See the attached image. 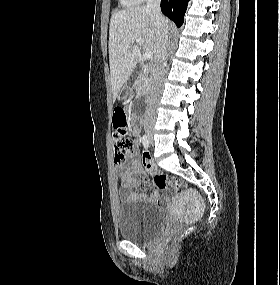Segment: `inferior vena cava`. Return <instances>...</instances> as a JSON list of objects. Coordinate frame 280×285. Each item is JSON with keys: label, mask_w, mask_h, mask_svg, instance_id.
<instances>
[{"label": "inferior vena cava", "mask_w": 280, "mask_h": 285, "mask_svg": "<svg viewBox=\"0 0 280 285\" xmlns=\"http://www.w3.org/2000/svg\"><path fill=\"white\" fill-rule=\"evenodd\" d=\"M147 9L151 10L154 16L157 40L154 51L153 78L145 113V125L153 124L156 119V108L162 92V79L169 47V30L160 10V0H147Z\"/></svg>", "instance_id": "602c4592"}]
</instances>
